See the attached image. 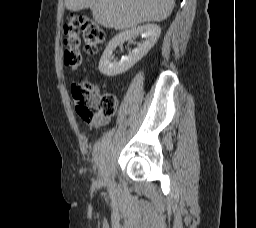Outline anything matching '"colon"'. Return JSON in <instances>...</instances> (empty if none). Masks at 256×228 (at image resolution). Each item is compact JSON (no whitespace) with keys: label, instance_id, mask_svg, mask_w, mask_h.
<instances>
[{"label":"colon","instance_id":"1","mask_svg":"<svg viewBox=\"0 0 256 228\" xmlns=\"http://www.w3.org/2000/svg\"><path fill=\"white\" fill-rule=\"evenodd\" d=\"M80 33L83 37L85 51L89 55L97 54L105 39L104 31L92 18L83 14L72 15L64 26L66 47L64 63L73 71L82 64ZM72 96L76 111L86 122L109 118L115 114L116 96L111 93L100 94L97 88L88 81L74 83Z\"/></svg>","mask_w":256,"mask_h":228}]
</instances>
